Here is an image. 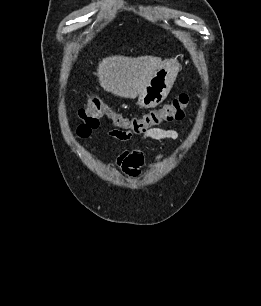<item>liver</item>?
I'll return each instance as SVG.
<instances>
[{
	"label": "liver",
	"mask_w": 261,
	"mask_h": 306,
	"mask_svg": "<svg viewBox=\"0 0 261 306\" xmlns=\"http://www.w3.org/2000/svg\"><path fill=\"white\" fill-rule=\"evenodd\" d=\"M161 64V58L154 56H110L99 62L97 76L105 91L133 99L142 92Z\"/></svg>",
	"instance_id": "liver-1"
}]
</instances>
